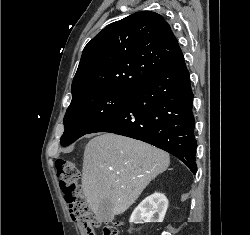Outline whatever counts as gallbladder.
<instances>
[{"mask_svg":"<svg viewBox=\"0 0 250 235\" xmlns=\"http://www.w3.org/2000/svg\"><path fill=\"white\" fill-rule=\"evenodd\" d=\"M100 222L109 223L114 219L113 205L109 200H103L98 210Z\"/></svg>","mask_w":250,"mask_h":235,"instance_id":"bac80fb5","label":"gallbladder"}]
</instances>
